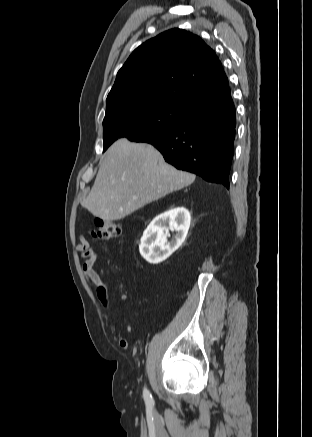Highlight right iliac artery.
Listing matches in <instances>:
<instances>
[{"label":"right iliac artery","instance_id":"1","mask_svg":"<svg viewBox=\"0 0 312 437\" xmlns=\"http://www.w3.org/2000/svg\"><path fill=\"white\" fill-rule=\"evenodd\" d=\"M143 397H144L146 404H150V405L153 404L152 395L150 394V392L147 389H144Z\"/></svg>","mask_w":312,"mask_h":437}]
</instances>
